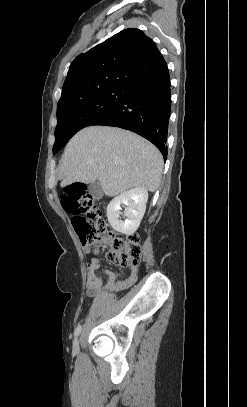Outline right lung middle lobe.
Returning a JSON list of instances; mask_svg holds the SVG:
<instances>
[{
	"label": "right lung middle lobe",
	"instance_id": "right-lung-middle-lobe-1",
	"mask_svg": "<svg viewBox=\"0 0 247 407\" xmlns=\"http://www.w3.org/2000/svg\"><path fill=\"white\" fill-rule=\"evenodd\" d=\"M130 92V87H110L57 107V127L53 154L84 127L110 113Z\"/></svg>",
	"mask_w": 247,
	"mask_h": 407
}]
</instances>
